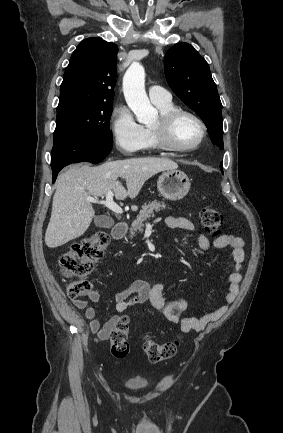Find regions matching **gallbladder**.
Wrapping results in <instances>:
<instances>
[{"instance_id":"bac80fb5","label":"gallbladder","mask_w":283,"mask_h":433,"mask_svg":"<svg viewBox=\"0 0 283 433\" xmlns=\"http://www.w3.org/2000/svg\"><path fill=\"white\" fill-rule=\"evenodd\" d=\"M96 227H102V229H111L114 225L113 219L111 217H106V214H99V217L95 219Z\"/></svg>"}]
</instances>
